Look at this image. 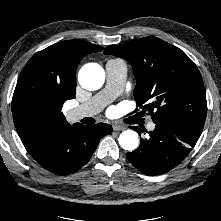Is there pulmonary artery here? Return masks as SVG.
<instances>
[{"mask_svg": "<svg viewBox=\"0 0 221 221\" xmlns=\"http://www.w3.org/2000/svg\"><path fill=\"white\" fill-rule=\"evenodd\" d=\"M105 70V88L89 101L72 109L68 114L70 120L77 121L85 117L94 116L122 92L127 74L126 63L121 59H110L106 62ZM147 128L152 131L155 128V124L149 122Z\"/></svg>", "mask_w": 221, "mask_h": 221, "instance_id": "e3ab8cb5", "label": "pulmonary artery"}]
</instances>
